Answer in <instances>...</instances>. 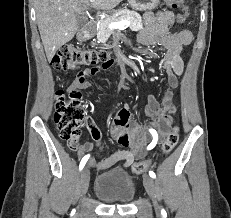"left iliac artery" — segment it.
<instances>
[{"instance_id": "1", "label": "left iliac artery", "mask_w": 231, "mask_h": 218, "mask_svg": "<svg viewBox=\"0 0 231 218\" xmlns=\"http://www.w3.org/2000/svg\"><path fill=\"white\" fill-rule=\"evenodd\" d=\"M149 132L151 133V135H152V137H153V140H152V142L147 146V150L153 149V148L156 146L157 141H158V134H157L156 130H154V129H149ZM149 175H150V177H152V178H156V175H155V173H154L153 171H149ZM164 212H165V211L162 210V213H164Z\"/></svg>"}]
</instances>
